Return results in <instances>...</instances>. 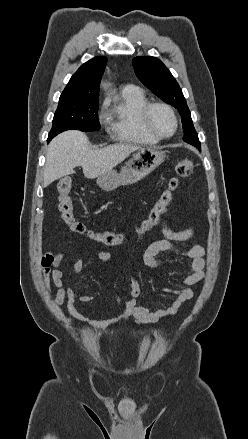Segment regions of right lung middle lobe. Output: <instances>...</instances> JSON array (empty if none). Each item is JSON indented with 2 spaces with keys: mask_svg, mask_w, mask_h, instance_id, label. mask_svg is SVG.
Here are the masks:
<instances>
[{
  "mask_svg": "<svg viewBox=\"0 0 248 439\" xmlns=\"http://www.w3.org/2000/svg\"><path fill=\"white\" fill-rule=\"evenodd\" d=\"M98 108V99H60L47 141L49 142L57 134L70 129L83 132L100 130Z\"/></svg>",
  "mask_w": 248,
  "mask_h": 439,
  "instance_id": "dd1d6c3e",
  "label": "right lung middle lobe"
}]
</instances>
